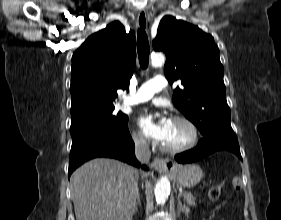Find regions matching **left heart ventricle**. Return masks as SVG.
Segmentation results:
<instances>
[{"label": "left heart ventricle", "instance_id": "obj_1", "mask_svg": "<svg viewBox=\"0 0 281 220\" xmlns=\"http://www.w3.org/2000/svg\"><path fill=\"white\" fill-rule=\"evenodd\" d=\"M190 138L189 128L181 122L171 121L167 136L163 145L168 147H177L185 144Z\"/></svg>", "mask_w": 281, "mask_h": 220}]
</instances>
